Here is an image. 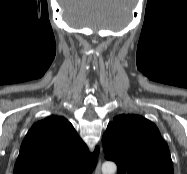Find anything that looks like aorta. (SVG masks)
<instances>
[{
	"mask_svg": "<svg viewBox=\"0 0 187 174\" xmlns=\"http://www.w3.org/2000/svg\"><path fill=\"white\" fill-rule=\"evenodd\" d=\"M117 166L114 162H105L102 165V174H115Z\"/></svg>",
	"mask_w": 187,
	"mask_h": 174,
	"instance_id": "aorta-1",
	"label": "aorta"
}]
</instances>
